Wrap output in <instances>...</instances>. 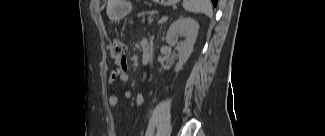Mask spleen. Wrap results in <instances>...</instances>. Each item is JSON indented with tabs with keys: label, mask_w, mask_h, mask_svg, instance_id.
I'll return each instance as SVG.
<instances>
[{
	"label": "spleen",
	"mask_w": 325,
	"mask_h": 136,
	"mask_svg": "<svg viewBox=\"0 0 325 136\" xmlns=\"http://www.w3.org/2000/svg\"><path fill=\"white\" fill-rule=\"evenodd\" d=\"M183 8L192 13H203L212 17L213 9L210 0H184Z\"/></svg>",
	"instance_id": "spleen-1"
}]
</instances>
